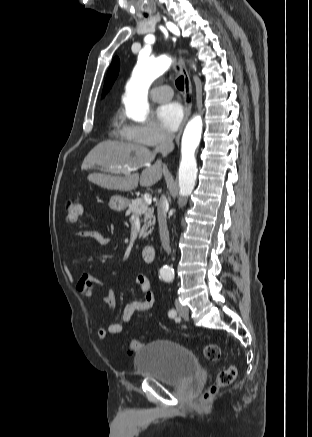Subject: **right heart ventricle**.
Returning <instances> with one entry per match:
<instances>
[{
	"label": "right heart ventricle",
	"mask_w": 312,
	"mask_h": 437,
	"mask_svg": "<svg viewBox=\"0 0 312 437\" xmlns=\"http://www.w3.org/2000/svg\"><path fill=\"white\" fill-rule=\"evenodd\" d=\"M113 128L117 131H121V122L119 116H116L113 121Z\"/></svg>",
	"instance_id": "1"
}]
</instances>
